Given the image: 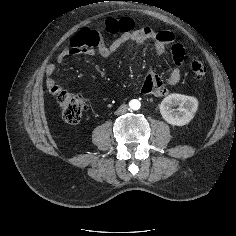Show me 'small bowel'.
<instances>
[{"label":"small bowel","mask_w":236,"mask_h":236,"mask_svg":"<svg viewBox=\"0 0 236 236\" xmlns=\"http://www.w3.org/2000/svg\"><path fill=\"white\" fill-rule=\"evenodd\" d=\"M105 30L116 37L107 43L101 31L84 28L76 33L69 41L66 49L57 56V62L62 63L66 58L76 55L94 56L99 54L108 58L128 42L143 44L148 41L153 43L155 52L163 55L168 46L171 48L172 68L168 78V85H176L182 77L181 67L186 59L187 52L185 46L175 40V36L170 31H154L148 26L135 28L130 18L121 20L108 19L105 22ZM56 65L50 63L45 68V84L51 95H57L62 87L55 81ZM141 92L146 95L164 96L168 93L164 80L153 72H149L141 84Z\"/></svg>","instance_id":"obj_1"}]
</instances>
